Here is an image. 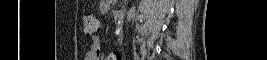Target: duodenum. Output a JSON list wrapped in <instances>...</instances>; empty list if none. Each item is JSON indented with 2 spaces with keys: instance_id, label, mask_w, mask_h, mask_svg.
I'll return each instance as SVG.
<instances>
[{
  "instance_id": "1",
  "label": "duodenum",
  "mask_w": 267,
  "mask_h": 60,
  "mask_svg": "<svg viewBox=\"0 0 267 60\" xmlns=\"http://www.w3.org/2000/svg\"><path fill=\"white\" fill-rule=\"evenodd\" d=\"M111 14L114 18H118L120 16V11L118 9H113Z\"/></svg>"
}]
</instances>
